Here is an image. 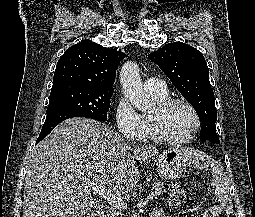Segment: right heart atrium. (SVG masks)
I'll return each instance as SVG.
<instances>
[{
  "label": "right heart atrium",
  "instance_id": "d8ad5b80",
  "mask_svg": "<svg viewBox=\"0 0 255 217\" xmlns=\"http://www.w3.org/2000/svg\"><path fill=\"white\" fill-rule=\"evenodd\" d=\"M114 116L117 130L120 134L130 140H137L143 137L144 124L142 116L125 97L118 99Z\"/></svg>",
  "mask_w": 255,
  "mask_h": 217
}]
</instances>
